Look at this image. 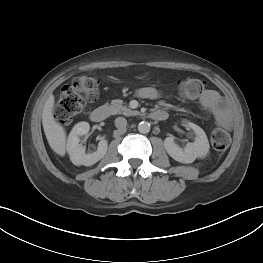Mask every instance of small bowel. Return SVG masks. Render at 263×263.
Segmentation results:
<instances>
[{
    "mask_svg": "<svg viewBox=\"0 0 263 263\" xmlns=\"http://www.w3.org/2000/svg\"><path fill=\"white\" fill-rule=\"evenodd\" d=\"M140 98L154 100L160 97L161 93L153 87L140 88L137 91ZM201 106L209 111L216 123L223 127H229L231 118L221 96L214 90H206L200 97Z\"/></svg>",
    "mask_w": 263,
    "mask_h": 263,
    "instance_id": "obj_1",
    "label": "small bowel"
}]
</instances>
